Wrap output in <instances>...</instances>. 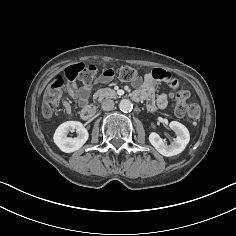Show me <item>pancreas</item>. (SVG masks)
<instances>
[{"instance_id":"obj_1","label":"pancreas","mask_w":236,"mask_h":236,"mask_svg":"<svg viewBox=\"0 0 236 236\" xmlns=\"http://www.w3.org/2000/svg\"><path fill=\"white\" fill-rule=\"evenodd\" d=\"M116 95V92L110 88H103V89H99L97 90L94 95H93V99H98V101H102L104 98H108V97H113Z\"/></svg>"}]
</instances>
